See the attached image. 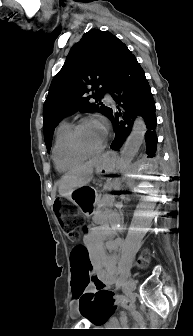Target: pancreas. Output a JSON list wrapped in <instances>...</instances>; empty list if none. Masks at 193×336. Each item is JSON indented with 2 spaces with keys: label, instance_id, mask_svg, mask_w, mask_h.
Listing matches in <instances>:
<instances>
[{
  "label": "pancreas",
  "instance_id": "pancreas-1",
  "mask_svg": "<svg viewBox=\"0 0 193 336\" xmlns=\"http://www.w3.org/2000/svg\"><path fill=\"white\" fill-rule=\"evenodd\" d=\"M111 185H106L104 187L105 194L102 195V197L99 198V206H96V209H99L100 211H112L114 209V198L113 194L109 192L111 190Z\"/></svg>",
  "mask_w": 193,
  "mask_h": 336
}]
</instances>
